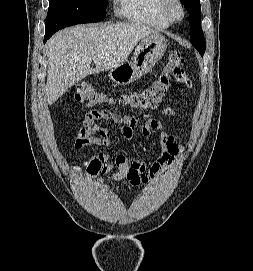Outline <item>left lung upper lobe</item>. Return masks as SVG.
Returning a JSON list of instances; mask_svg holds the SVG:
<instances>
[{"mask_svg":"<svg viewBox=\"0 0 253 271\" xmlns=\"http://www.w3.org/2000/svg\"><path fill=\"white\" fill-rule=\"evenodd\" d=\"M189 12L190 36L192 45L203 56L205 52V39L201 28V6L199 0H181Z\"/></svg>","mask_w":253,"mask_h":271,"instance_id":"left-lung-upper-lobe-1","label":"left lung upper lobe"}]
</instances>
